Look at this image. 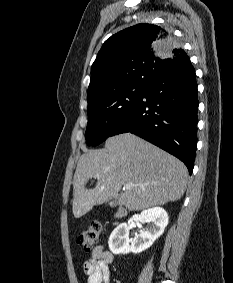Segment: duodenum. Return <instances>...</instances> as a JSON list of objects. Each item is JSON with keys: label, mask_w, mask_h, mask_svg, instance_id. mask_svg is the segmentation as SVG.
<instances>
[{"label": "duodenum", "mask_w": 233, "mask_h": 283, "mask_svg": "<svg viewBox=\"0 0 233 283\" xmlns=\"http://www.w3.org/2000/svg\"><path fill=\"white\" fill-rule=\"evenodd\" d=\"M126 214H127L126 210L123 209V208H120V209H118V211L116 212L115 217H116L117 219H120V218L126 216Z\"/></svg>", "instance_id": "1"}]
</instances>
